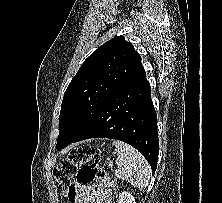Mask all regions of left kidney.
Returning <instances> with one entry per match:
<instances>
[{"label": "left kidney", "instance_id": "5707ae66", "mask_svg": "<svg viewBox=\"0 0 222 203\" xmlns=\"http://www.w3.org/2000/svg\"><path fill=\"white\" fill-rule=\"evenodd\" d=\"M118 203H136L135 198L130 192L123 191L119 194Z\"/></svg>", "mask_w": 222, "mask_h": 203}]
</instances>
